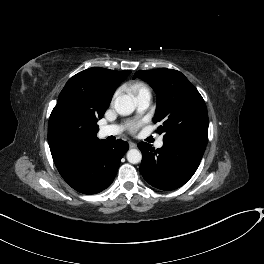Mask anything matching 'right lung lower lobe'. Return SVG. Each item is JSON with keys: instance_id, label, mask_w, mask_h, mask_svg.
I'll return each instance as SVG.
<instances>
[{"instance_id": "obj_1", "label": "right lung lower lobe", "mask_w": 264, "mask_h": 264, "mask_svg": "<svg viewBox=\"0 0 264 264\" xmlns=\"http://www.w3.org/2000/svg\"><path fill=\"white\" fill-rule=\"evenodd\" d=\"M129 149L127 142L100 140L64 164L57 166L63 179L76 191L96 194L113 182L121 158Z\"/></svg>"}]
</instances>
